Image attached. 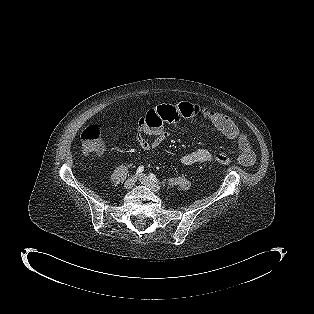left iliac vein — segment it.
<instances>
[{
  "mask_svg": "<svg viewBox=\"0 0 314 314\" xmlns=\"http://www.w3.org/2000/svg\"><path fill=\"white\" fill-rule=\"evenodd\" d=\"M139 180L142 184H144L146 187L150 188L153 192L158 193L159 187L156 186L146 175L141 174L139 176Z\"/></svg>",
  "mask_w": 314,
  "mask_h": 314,
  "instance_id": "4c4485c4",
  "label": "left iliac vein"
}]
</instances>
